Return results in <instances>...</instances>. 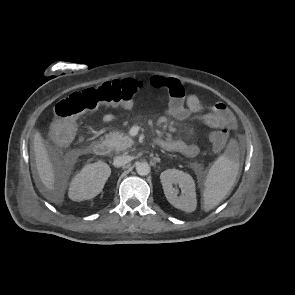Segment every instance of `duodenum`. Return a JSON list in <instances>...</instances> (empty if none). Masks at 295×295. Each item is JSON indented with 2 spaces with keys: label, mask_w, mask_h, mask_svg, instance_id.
Returning <instances> with one entry per match:
<instances>
[{
  "label": "duodenum",
  "mask_w": 295,
  "mask_h": 295,
  "mask_svg": "<svg viewBox=\"0 0 295 295\" xmlns=\"http://www.w3.org/2000/svg\"><path fill=\"white\" fill-rule=\"evenodd\" d=\"M159 140H156L158 144ZM87 151L94 153L97 156H106L109 152V146L103 141H94L86 147Z\"/></svg>",
  "instance_id": "1"
}]
</instances>
